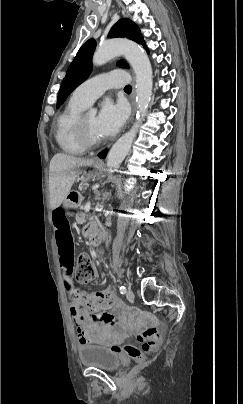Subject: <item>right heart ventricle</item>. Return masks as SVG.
I'll list each match as a JSON object with an SVG mask.
<instances>
[{
  "label": "right heart ventricle",
  "instance_id": "1",
  "mask_svg": "<svg viewBox=\"0 0 243 404\" xmlns=\"http://www.w3.org/2000/svg\"><path fill=\"white\" fill-rule=\"evenodd\" d=\"M86 108L87 105L79 97L76 88L56 119L54 140L59 150L66 155L81 156L88 151V147L79 140L74 130L76 120Z\"/></svg>",
  "mask_w": 243,
  "mask_h": 404
}]
</instances>
